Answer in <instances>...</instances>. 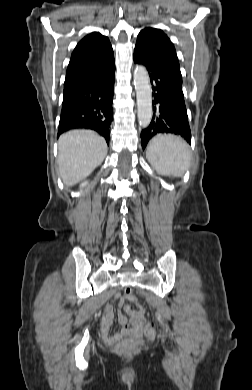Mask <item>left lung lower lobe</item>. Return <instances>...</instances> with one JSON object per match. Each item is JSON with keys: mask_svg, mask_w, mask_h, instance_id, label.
<instances>
[{"mask_svg": "<svg viewBox=\"0 0 252 390\" xmlns=\"http://www.w3.org/2000/svg\"><path fill=\"white\" fill-rule=\"evenodd\" d=\"M134 62L147 68L154 98L152 121L141 133L142 148L159 133L178 134L191 143L180 70L139 45L134 49Z\"/></svg>", "mask_w": 252, "mask_h": 390, "instance_id": "1", "label": "left lung lower lobe"}]
</instances>
